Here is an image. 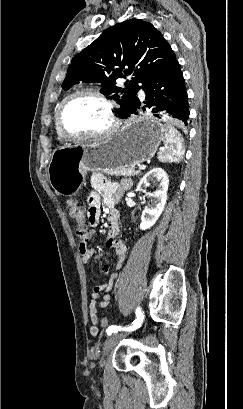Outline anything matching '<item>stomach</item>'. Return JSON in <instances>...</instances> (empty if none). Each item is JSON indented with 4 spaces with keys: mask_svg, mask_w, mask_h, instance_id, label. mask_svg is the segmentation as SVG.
Here are the masks:
<instances>
[{
    "mask_svg": "<svg viewBox=\"0 0 243 409\" xmlns=\"http://www.w3.org/2000/svg\"><path fill=\"white\" fill-rule=\"evenodd\" d=\"M164 137V126L152 116L132 117L108 138L61 146L54 150L48 179L57 194H74L88 172L134 167L151 159Z\"/></svg>",
    "mask_w": 243,
    "mask_h": 409,
    "instance_id": "0dacf381",
    "label": "stomach"
}]
</instances>
